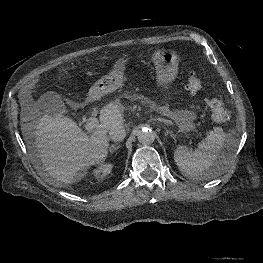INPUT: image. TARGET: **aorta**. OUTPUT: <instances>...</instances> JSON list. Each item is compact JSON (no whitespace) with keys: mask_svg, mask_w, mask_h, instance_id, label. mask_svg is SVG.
<instances>
[{"mask_svg":"<svg viewBox=\"0 0 263 263\" xmlns=\"http://www.w3.org/2000/svg\"><path fill=\"white\" fill-rule=\"evenodd\" d=\"M137 138L142 145H149L155 140V132L151 129L145 128L139 131Z\"/></svg>","mask_w":263,"mask_h":263,"instance_id":"1","label":"aorta"}]
</instances>
